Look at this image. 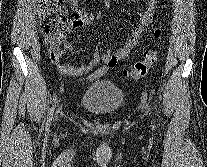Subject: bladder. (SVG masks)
Masks as SVG:
<instances>
[{
  "instance_id": "1",
  "label": "bladder",
  "mask_w": 207,
  "mask_h": 167,
  "mask_svg": "<svg viewBox=\"0 0 207 167\" xmlns=\"http://www.w3.org/2000/svg\"><path fill=\"white\" fill-rule=\"evenodd\" d=\"M124 103L122 90L109 80H99L91 83L84 90L81 106L88 112L106 116L117 112Z\"/></svg>"
}]
</instances>
